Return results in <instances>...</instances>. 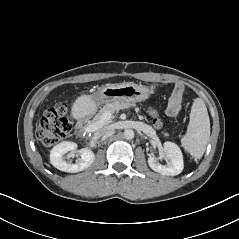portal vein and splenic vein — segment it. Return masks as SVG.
<instances>
[{
    "mask_svg": "<svg viewBox=\"0 0 239 239\" xmlns=\"http://www.w3.org/2000/svg\"><path fill=\"white\" fill-rule=\"evenodd\" d=\"M111 116H112V114H111L110 111L104 112L97 121H95L92 124L88 125L87 129H89L91 132H94V131L102 128L104 125L109 123V121L111 119Z\"/></svg>",
    "mask_w": 239,
    "mask_h": 239,
    "instance_id": "portal-vein-and-splenic-vein-1",
    "label": "portal vein and splenic vein"
}]
</instances>
